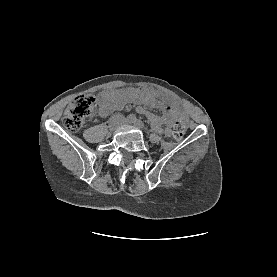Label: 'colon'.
<instances>
[{
	"mask_svg": "<svg viewBox=\"0 0 277 277\" xmlns=\"http://www.w3.org/2000/svg\"><path fill=\"white\" fill-rule=\"evenodd\" d=\"M97 112L96 100L91 95H80L74 98L68 105L63 123L71 131L81 129ZM187 131V124L184 120H177L172 129L173 137L176 140L182 139Z\"/></svg>",
	"mask_w": 277,
	"mask_h": 277,
	"instance_id": "5ec220e1",
	"label": "colon"
}]
</instances>
